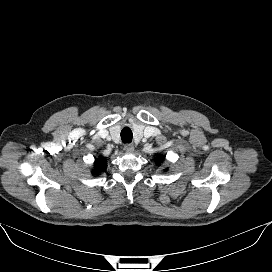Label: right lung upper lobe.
Wrapping results in <instances>:
<instances>
[{"label": "right lung upper lobe", "instance_id": "1", "mask_svg": "<svg viewBox=\"0 0 272 272\" xmlns=\"http://www.w3.org/2000/svg\"><path fill=\"white\" fill-rule=\"evenodd\" d=\"M95 169L97 172L106 170V161L104 159H98L95 162Z\"/></svg>", "mask_w": 272, "mask_h": 272}]
</instances>
